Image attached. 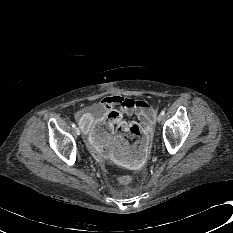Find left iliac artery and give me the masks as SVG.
<instances>
[{
  "label": "left iliac artery",
  "instance_id": "left-iliac-artery-1",
  "mask_svg": "<svg viewBox=\"0 0 233 233\" xmlns=\"http://www.w3.org/2000/svg\"><path fill=\"white\" fill-rule=\"evenodd\" d=\"M164 114H165V111H164V110H162L161 115H162V116H164Z\"/></svg>",
  "mask_w": 233,
  "mask_h": 233
}]
</instances>
